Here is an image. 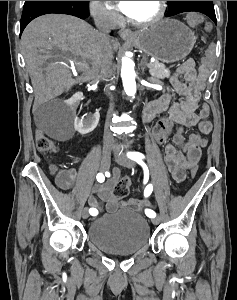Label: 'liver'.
Masks as SVG:
<instances>
[{
	"label": "liver",
	"instance_id": "6515ba94",
	"mask_svg": "<svg viewBox=\"0 0 237 300\" xmlns=\"http://www.w3.org/2000/svg\"><path fill=\"white\" fill-rule=\"evenodd\" d=\"M110 45L116 51L119 43L110 41ZM21 49L34 87L35 103L43 101L45 95L55 97L63 93L71 77L67 67L70 61H75L78 71H84L81 77L73 79V85L95 79L102 65L98 31L71 15H43L31 21L23 31Z\"/></svg>",
	"mask_w": 237,
	"mask_h": 300
}]
</instances>
